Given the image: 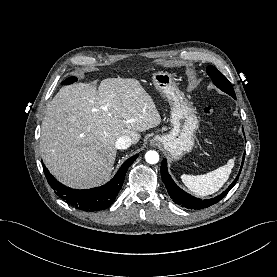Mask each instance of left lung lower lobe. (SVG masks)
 I'll list each match as a JSON object with an SVG mask.
<instances>
[{"instance_id":"left-lung-lower-lobe-1","label":"left lung lower lobe","mask_w":277,"mask_h":277,"mask_svg":"<svg viewBox=\"0 0 277 277\" xmlns=\"http://www.w3.org/2000/svg\"><path fill=\"white\" fill-rule=\"evenodd\" d=\"M244 156H243L242 166H243V162H244ZM242 166H241V169H242ZM241 169H240L239 174L236 177V179L233 181V183L228 187V189L226 191H224L222 194L218 195L215 198L205 199V200H201V199L191 196L190 194H188V193L184 192L182 189H180L174 183V181L172 180V178L170 177V175L168 173L167 162L165 159H163L162 163H161V177H162L163 182L165 183V187L167 188V191H168L171 199L174 202H176L181 207H185L187 209L199 210V209L207 208V207L219 202L235 185L236 181L239 178Z\"/></svg>"}]
</instances>
